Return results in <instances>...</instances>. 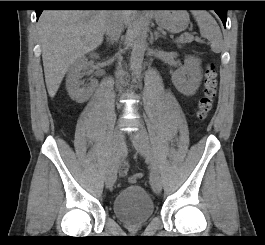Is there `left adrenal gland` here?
Listing matches in <instances>:
<instances>
[{
	"label": "left adrenal gland",
	"instance_id": "obj_1",
	"mask_svg": "<svg viewBox=\"0 0 265 245\" xmlns=\"http://www.w3.org/2000/svg\"><path fill=\"white\" fill-rule=\"evenodd\" d=\"M154 35H155V40H157L159 37H160V34L158 31H155L154 32Z\"/></svg>",
	"mask_w": 265,
	"mask_h": 245
}]
</instances>
